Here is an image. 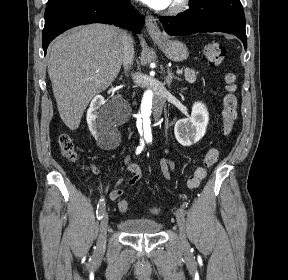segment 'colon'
Masks as SVG:
<instances>
[{
	"label": "colon",
	"instance_id": "1",
	"mask_svg": "<svg viewBox=\"0 0 288 280\" xmlns=\"http://www.w3.org/2000/svg\"><path fill=\"white\" fill-rule=\"evenodd\" d=\"M205 59L210 66H219L225 55L226 49L223 45L217 42H211L205 45L203 50ZM237 77L234 73H227L224 76V85L226 94L223 98V109H222V120L223 126L222 130L225 135H228L233 128L234 122L237 118V107L238 100L235 95ZM58 144L61 153L65 158L70 161H75L77 159V153L75 150V145L72 138L68 134H61L58 138ZM219 159V150L217 148L210 149L204 159L201 166H199L194 173L188 178L187 186L190 189H195L199 187L202 180L206 177L207 170L217 163ZM119 207L127 211L128 203L123 200L121 201ZM153 213H158L159 208H151Z\"/></svg>",
	"mask_w": 288,
	"mask_h": 280
}]
</instances>
